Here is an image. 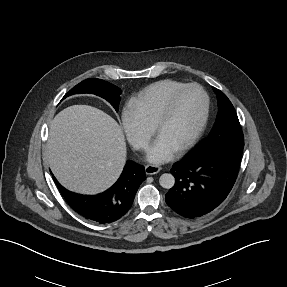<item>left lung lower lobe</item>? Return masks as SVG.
Segmentation results:
<instances>
[{
    "instance_id": "1",
    "label": "left lung lower lobe",
    "mask_w": 287,
    "mask_h": 287,
    "mask_svg": "<svg viewBox=\"0 0 287 287\" xmlns=\"http://www.w3.org/2000/svg\"><path fill=\"white\" fill-rule=\"evenodd\" d=\"M244 146L223 143L199 145L173 164L175 185L165 196L167 205L186 218L203 216L220 205L231 191Z\"/></svg>"
}]
</instances>
